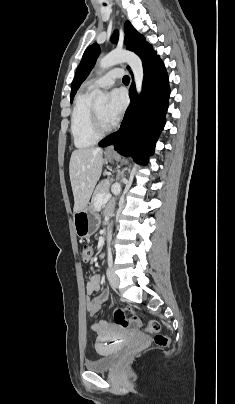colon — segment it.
<instances>
[{
	"mask_svg": "<svg viewBox=\"0 0 235 404\" xmlns=\"http://www.w3.org/2000/svg\"><path fill=\"white\" fill-rule=\"evenodd\" d=\"M82 259L84 262H89L93 256V249L89 245H85L82 248ZM115 323L122 327L127 328L129 326L142 327L141 321L136 317L128 318L123 309H118L114 313ZM143 329L150 334L154 335V342L158 347H166L169 344V338L160 333V324L157 321H150Z\"/></svg>",
	"mask_w": 235,
	"mask_h": 404,
	"instance_id": "colon-1",
	"label": "colon"
}]
</instances>
